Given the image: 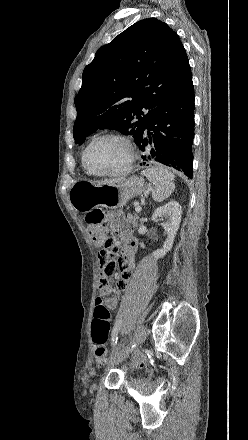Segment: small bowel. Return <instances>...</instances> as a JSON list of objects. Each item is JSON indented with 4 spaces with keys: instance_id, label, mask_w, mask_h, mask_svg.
<instances>
[{
    "instance_id": "c3829d8e",
    "label": "small bowel",
    "mask_w": 248,
    "mask_h": 440,
    "mask_svg": "<svg viewBox=\"0 0 248 440\" xmlns=\"http://www.w3.org/2000/svg\"><path fill=\"white\" fill-rule=\"evenodd\" d=\"M113 225L121 230L124 235V248L121 257L100 258V276L97 277L99 285V296L96 297L97 303H103L108 309L114 310L117 307L121 291L127 286L131 270L134 266V256L137 250V242L131 236L126 220L121 212L113 214ZM116 286L119 288L115 291ZM112 283V284H111ZM112 294L104 298L106 295Z\"/></svg>"
}]
</instances>
